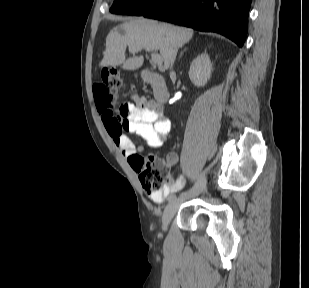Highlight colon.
I'll return each instance as SVG.
<instances>
[{
	"instance_id": "obj_1",
	"label": "colon",
	"mask_w": 309,
	"mask_h": 288,
	"mask_svg": "<svg viewBox=\"0 0 309 288\" xmlns=\"http://www.w3.org/2000/svg\"><path fill=\"white\" fill-rule=\"evenodd\" d=\"M122 86V80L116 69L104 67L101 70L100 81L95 84L96 103L102 117L112 119L119 125H124L129 116L126 104L115 106L114 96ZM137 164L139 180L143 189L149 194H157L166 188L170 181V167L155 155L143 158L139 155L132 157Z\"/></svg>"
}]
</instances>
